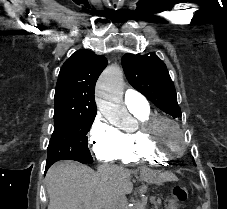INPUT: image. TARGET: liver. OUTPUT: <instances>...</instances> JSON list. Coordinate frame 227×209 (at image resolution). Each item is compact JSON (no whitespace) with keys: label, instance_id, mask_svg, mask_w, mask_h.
<instances>
[{"label":"liver","instance_id":"obj_1","mask_svg":"<svg viewBox=\"0 0 227 209\" xmlns=\"http://www.w3.org/2000/svg\"><path fill=\"white\" fill-rule=\"evenodd\" d=\"M114 175L129 177L102 165L98 173L76 161H60L46 175L48 209H105Z\"/></svg>","mask_w":227,"mask_h":209}]
</instances>
